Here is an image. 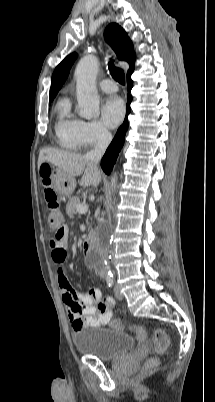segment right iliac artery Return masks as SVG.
<instances>
[{
  "label": "right iliac artery",
  "instance_id": "82829eb1",
  "mask_svg": "<svg viewBox=\"0 0 215 402\" xmlns=\"http://www.w3.org/2000/svg\"><path fill=\"white\" fill-rule=\"evenodd\" d=\"M106 281H107V285H108L109 287H112V286H113L114 280H113L112 277H108Z\"/></svg>",
  "mask_w": 215,
  "mask_h": 402
}]
</instances>
